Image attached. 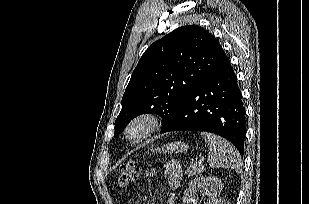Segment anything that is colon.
<instances>
[{"mask_svg":"<svg viewBox=\"0 0 309 204\" xmlns=\"http://www.w3.org/2000/svg\"><path fill=\"white\" fill-rule=\"evenodd\" d=\"M140 173V166L136 161H129L123 164L118 175V184L125 188L134 182Z\"/></svg>","mask_w":309,"mask_h":204,"instance_id":"colon-1","label":"colon"}]
</instances>
